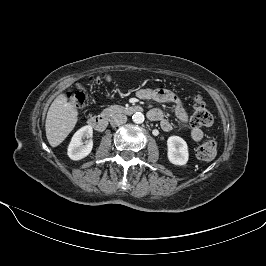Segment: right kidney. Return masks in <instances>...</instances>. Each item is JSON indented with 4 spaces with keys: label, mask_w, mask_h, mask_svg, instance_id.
<instances>
[{
    "label": "right kidney",
    "mask_w": 266,
    "mask_h": 266,
    "mask_svg": "<svg viewBox=\"0 0 266 266\" xmlns=\"http://www.w3.org/2000/svg\"><path fill=\"white\" fill-rule=\"evenodd\" d=\"M93 129L90 125H86L80 128L72 137L68 146V156L72 160H81L87 157L93 148L92 142ZM89 139L85 145H83V139Z\"/></svg>",
    "instance_id": "obj_1"
}]
</instances>
